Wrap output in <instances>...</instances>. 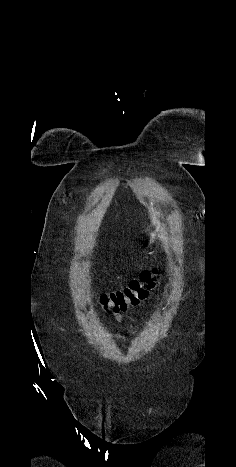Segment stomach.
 <instances>
[{
  "label": "stomach",
  "instance_id": "obj_1",
  "mask_svg": "<svg viewBox=\"0 0 236 467\" xmlns=\"http://www.w3.org/2000/svg\"><path fill=\"white\" fill-rule=\"evenodd\" d=\"M155 240V233H152L151 234V237H150V240H149V244H152Z\"/></svg>",
  "mask_w": 236,
  "mask_h": 467
}]
</instances>
